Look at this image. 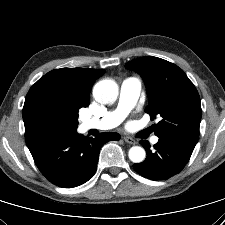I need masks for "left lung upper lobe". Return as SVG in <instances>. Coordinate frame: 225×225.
I'll return each instance as SVG.
<instances>
[{
	"instance_id": "left-lung-upper-lobe-1",
	"label": "left lung upper lobe",
	"mask_w": 225,
	"mask_h": 225,
	"mask_svg": "<svg viewBox=\"0 0 225 225\" xmlns=\"http://www.w3.org/2000/svg\"><path fill=\"white\" fill-rule=\"evenodd\" d=\"M125 67L139 73L145 81L149 98L145 112L152 120L161 117L155 125V135L195 146L199 137L201 102L185 72L153 56L135 59Z\"/></svg>"
}]
</instances>
